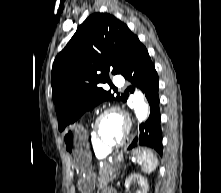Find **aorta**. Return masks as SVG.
<instances>
[{
	"mask_svg": "<svg viewBox=\"0 0 221 193\" xmlns=\"http://www.w3.org/2000/svg\"><path fill=\"white\" fill-rule=\"evenodd\" d=\"M133 105L136 117L139 122L147 119L149 115L148 105L145 103L144 95L141 91H135L133 95Z\"/></svg>",
	"mask_w": 221,
	"mask_h": 193,
	"instance_id": "obj_1",
	"label": "aorta"
}]
</instances>
